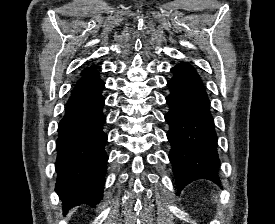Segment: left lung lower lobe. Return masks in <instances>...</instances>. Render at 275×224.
Wrapping results in <instances>:
<instances>
[{
    "mask_svg": "<svg viewBox=\"0 0 275 224\" xmlns=\"http://www.w3.org/2000/svg\"><path fill=\"white\" fill-rule=\"evenodd\" d=\"M167 85L170 107L165 120L170 126L169 159L176 177L177 194L197 179L218 182L220 160L217 134L204 85L192 66L173 67Z\"/></svg>",
    "mask_w": 275,
    "mask_h": 224,
    "instance_id": "left-lung-lower-lobe-1",
    "label": "left lung lower lobe"
}]
</instances>
